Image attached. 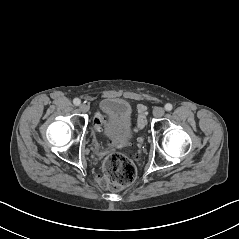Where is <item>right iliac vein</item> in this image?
Wrapping results in <instances>:
<instances>
[{"label":"right iliac vein","mask_w":239,"mask_h":239,"mask_svg":"<svg viewBox=\"0 0 239 239\" xmlns=\"http://www.w3.org/2000/svg\"><path fill=\"white\" fill-rule=\"evenodd\" d=\"M88 106L86 104H81L79 106V110L82 112V113H86L88 111Z\"/></svg>","instance_id":"obj_1"}]
</instances>
